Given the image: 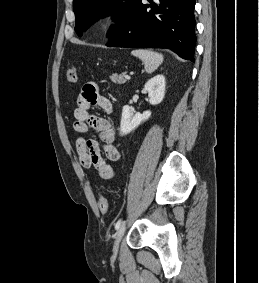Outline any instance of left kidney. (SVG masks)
<instances>
[{
	"label": "left kidney",
	"instance_id": "5707ae66",
	"mask_svg": "<svg viewBox=\"0 0 259 283\" xmlns=\"http://www.w3.org/2000/svg\"><path fill=\"white\" fill-rule=\"evenodd\" d=\"M165 84V77L163 75H156L147 81L144 88L148 92L150 104L157 105L162 102L165 95ZM150 116L151 111L149 110L142 114H134L129 106H124L120 123V135L124 136L129 134Z\"/></svg>",
	"mask_w": 259,
	"mask_h": 283
}]
</instances>
